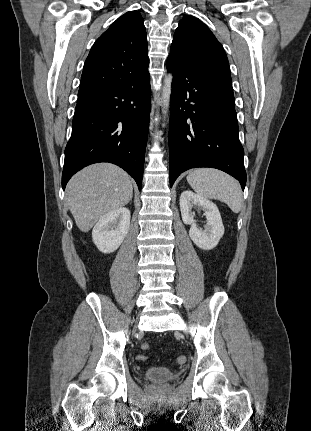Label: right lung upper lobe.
I'll return each instance as SVG.
<instances>
[{"instance_id":"obj_1","label":"right lung upper lobe","mask_w":311,"mask_h":431,"mask_svg":"<svg viewBox=\"0 0 311 431\" xmlns=\"http://www.w3.org/2000/svg\"><path fill=\"white\" fill-rule=\"evenodd\" d=\"M147 52L143 19L138 12L125 13L92 46L78 95L138 78L148 69Z\"/></svg>"}]
</instances>
